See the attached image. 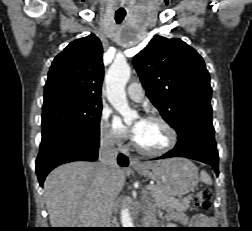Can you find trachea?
<instances>
[{
  "label": "trachea",
  "instance_id": "trachea-1",
  "mask_svg": "<svg viewBox=\"0 0 252 231\" xmlns=\"http://www.w3.org/2000/svg\"><path fill=\"white\" fill-rule=\"evenodd\" d=\"M126 13L125 12H116L115 13V20L117 23H121L125 17Z\"/></svg>",
  "mask_w": 252,
  "mask_h": 231
}]
</instances>
